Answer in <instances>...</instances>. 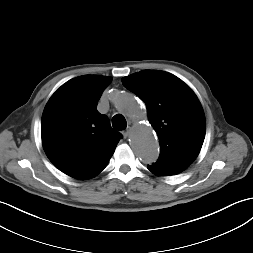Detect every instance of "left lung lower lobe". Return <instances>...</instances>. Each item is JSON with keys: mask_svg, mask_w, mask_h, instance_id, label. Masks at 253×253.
<instances>
[{"mask_svg": "<svg viewBox=\"0 0 253 253\" xmlns=\"http://www.w3.org/2000/svg\"><path fill=\"white\" fill-rule=\"evenodd\" d=\"M147 168L154 174L161 175V176L175 175L181 172V171H176V170H171V169L160 168L155 165H148Z\"/></svg>", "mask_w": 253, "mask_h": 253, "instance_id": "0a47b994", "label": "left lung lower lobe"}]
</instances>
